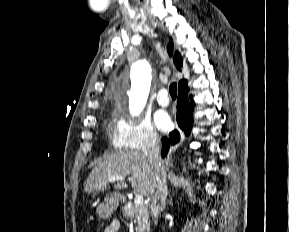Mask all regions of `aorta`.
Masks as SVG:
<instances>
[{"instance_id": "aorta-1", "label": "aorta", "mask_w": 289, "mask_h": 232, "mask_svg": "<svg viewBox=\"0 0 289 232\" xmlns=\"http://www.w3.org/2000/svg\"><path fill=\"white\" fill-rule=\"evenodd\" d=\"M151 68L145 61H138L132 66L131 111L138 115L144 108L150 90Z\"/></svg>"}]
</instances>
